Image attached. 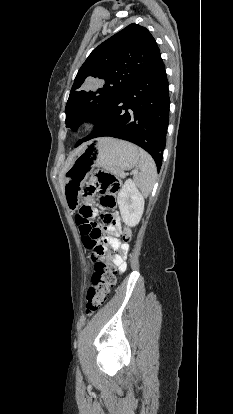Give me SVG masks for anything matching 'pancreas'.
I'll return each mask as SVG.
<instances>
[{
    "instance_id": "pancreas-1",
    "label": "pancreas",
    "mask_w": 233,
    "mask_h": 414,
    "mask_svg": "<svg viewBox=\"0 0 233 414\" xmlns=\"http://www.w3.org/2000/svg\"><path fill=\"white\" fill-rule=\"evenodd\" d=\"M123 174H124L123 171L117 172V175H119L120 177H122Z\"/></svg>"
}]
</instances>
